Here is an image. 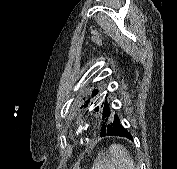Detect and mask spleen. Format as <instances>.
Instances as JSON below:
<instances>
[{
	"mask_svg": "<svg viewBox=\"0 0 177 169\" xmlns=\"http://www.w3.org/2000/svg\"><path fill=\"white\" fill-rule=\"evenodd\" d=\"M92 169H137L126 148L112 144L106 152L98 154Z\"/></svg>",
	"mask_w": 177,
	"mask_h": 169,
	"instance_id": "3e777b00",
	"label": "spleen"
}]
</instances>
